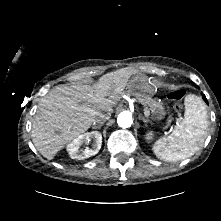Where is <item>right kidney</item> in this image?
<instances>
[{"mask_svg": "<svg viewBox=\"0 0 221 221\" xmlns=\"http://www.w3.org/2000/svg\"><path fill=\"white\" fill-rule=\"evenodd\" d=\"M91 139H94L92 149L86 147L84 150L80 149V146L86 142L89 143ZM102 145V135L98 131L87 132L81 134L67 145V151L72 159L83 160L91 156L96 155Z\"/></svg>", "mask_w": 221, "mask_h": 221, "instance_id": "1", "label": "right kidney"}]
</instances>
